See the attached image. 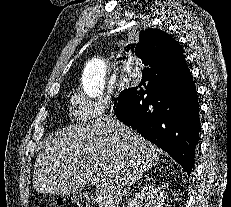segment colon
Here are the masks:
<instances>
[{"mask_svg": "<svg viewBox=\"0 0 231 207\" xmlns=\"http://www.w3.org/2000/svg\"><path fill=\"white\" fill-rule=\"evenodd\" d=\"M53 207H81V205L77 201L72 199L59 198Z\"/></svg>", "mask_w": 231, "mask_h": 207, "instance_id": "colon-1", "label": "colon"}]
</instances>
